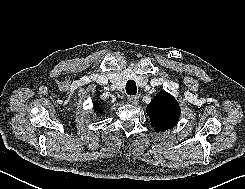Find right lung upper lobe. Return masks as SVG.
I'll return each instance as SVG.
<instances>
[{
	"instance_id": "obj_1",
	"label": "right lung upper lobe",
	"mask_w": 245,
	"mask_h": 189,
	"mask_svg": "<svg viewBox=\"0 0 245 189\" xmlns=\"http://www.w3.org/2000/svg\"><path fill=\"white\" fill-rule=\"evenodd\" d=\"M98 104H96V106H95V110H97L98 112L100 111L99 109H98Z\"/></svg>"
}]
</instances>
